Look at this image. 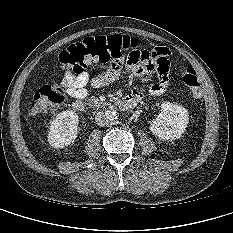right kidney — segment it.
I'll return each mask as SVG.
<instances>
[{"instance_id":"obj_1","label":"right kidney","mask_w":233,"mask_h":233,"mask_svg":"<svg viewBox=\"0 0 233 233\" xmlns=\"http://www.w3.org/2000/svg\"><path fill=\"white\" fill-rule=\"evenodd\" d=\"M79 118L74 111H63L51 122L48 142L54 148H64L75 141Z\"/></svg>"}]
</instances>
